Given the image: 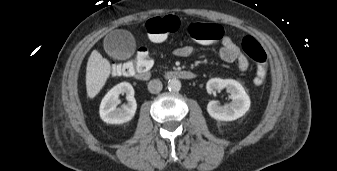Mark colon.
<instances>
[{"mask_svg": "<svg viewBox=\"0 0 337 171\" xmlns=\"http://www.w3.org/2000/svg\"><path fill=\"white\" fill-rule=\"evenodd\" d=\"M180 26V20L174 15L150 18L146 23L149 37L154 41H163L175 33ZM189 36L204 45H211L223 36V29L218 24L193 22L188 28ZM241 46L246 55L254 62L256 75L254 82L261 85L265 81L267 72L266 53L261 44L250 35L242 39ZM151 58L146 48H139L133 59L112 66V74L130 76L137 70L149 69Z\"/></svg>", "mask_w": 337, "mask_h": 171, "instance_id": "obj_1", "label": "colon"}]
</instances>
